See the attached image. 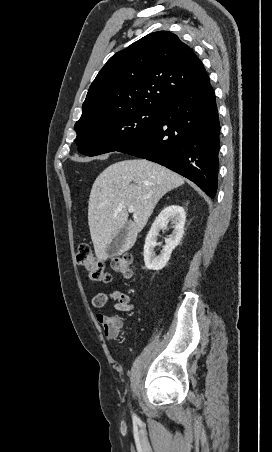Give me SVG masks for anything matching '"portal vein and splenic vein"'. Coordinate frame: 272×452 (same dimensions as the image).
Wrapping results in <instances>:
<instances>
[{
    "label": "portal vein and splenic vein",
    "instance_id": "obj_1",
    "mask_svg": "<svg viewBox=\"0 0 272 452\" xmlns=\"http://www.w3.org/2000/svg\"><path fill=\"white\" fill-rule=\"evenodd\" d=\"M134 210H135V209H134V206L131 205V206L128 207V211H129L130 213L134 212Z\"/></svg>",
    "mask_w": 272,
    "mask_h": 452
}]
</instances>
